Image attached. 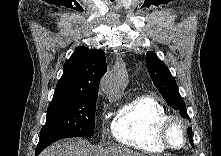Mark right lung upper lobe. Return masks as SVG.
I'll list each match as a JSON object with an SVG mask.
<instances>
[{
    "instance_id": "1",
    "label": "right lung upper lobe",
    "mask_w": 221,
    "mask_h": 156,
    "mask_svg": "<svg viewBox=\"0 0 221 156\" xmlns=\"http://www.w3.org/2000/svg\"><path fill=\"white\" fill-rule=\"evenodd\" d=\"M107 71L102 50L79 46L64 64L52 101L75 100L98 94L102 76Z\"/></svg>"
}]
</instances>
